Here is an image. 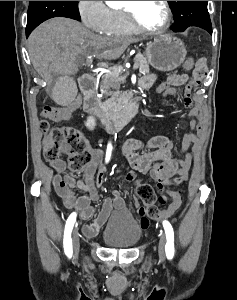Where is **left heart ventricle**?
I'll list each match as a JSON object with an SVG mask.
<instances>
[{"mask_svg": "<svg viewBox=\"0 0 237 300\" xmlns=\"http://www.w3.org/2000/svg\"><path fill=\"white\" fill-rule=\"evenodd\" d=\"M129 5L131 1H125ZM137 18L144 26L157 29L165 22L166 11L163 1H135Z\"/></svg>", "mask_w": 237, "mask_h": 300, "instance_id": "b2bd125f", "label": "left heart ventricle"}]
</instances>
